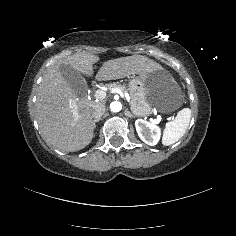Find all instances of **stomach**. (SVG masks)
I'll return each instance as SVG.
<instances>
[{
  "mask_svg": "<svg viewBox=\"0 0 236 236\" xmlns=\"http://www.w3.org/2000/svg\"><path fill=\"white\" fill-rule=\"evenodd\" d=\"M131 110L136 116H148L152 110L171 112L181 106L184 94L176 80L164 69L129 79Z\"/></svg>",
  "mask_w": 236,
  "mask_h": 236,
  "instance_id": "stomach-1",
  "label": "stomach"
}]
</instances>
